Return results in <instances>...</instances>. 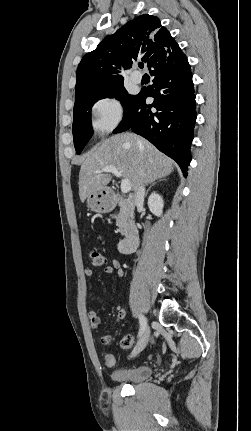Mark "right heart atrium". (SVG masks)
Masks as SVG:
<instances>
[{
  "label": "right heart atrium",
  "instance_id": "right-heart-atrium-1",
  "mask_svg": "<svg viewBox=\"0 0 251 431\" xmlns=\"http://www.w3.org/2000/svg\"><path fill=\"white\" fill-rule=\"evenodd\" d=\"M91 124L99 134L114 130L121 122L123 108L114 96H104L96 100L91 107Z\"/></svg>",
  "mask_w": 251,
  "mask_h": 431
}]
</instances>
